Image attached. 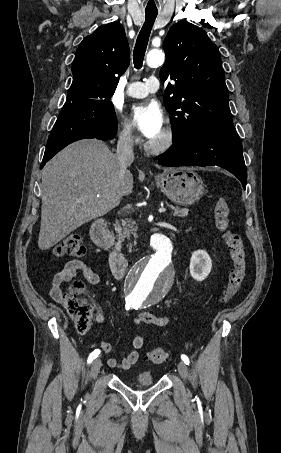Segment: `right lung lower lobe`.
<instances>
[{
	"instance_id": "obj_1",
	"label": "right lung lower lobe",
	"mask_w": 281,
	"mask_h": 453,
	"mask_svg": "<svg viewBox=\"0 0 281 453\" xmlns=\"http://www.w3.org/2000/svg\"><path fill=\"white\" fill-rule=\"evenodd\" d=\"M117 118L111 101L65 103L49 136L40 168L68 144L85 138L112 139Z\"/></svg>"
}]
</instances>
